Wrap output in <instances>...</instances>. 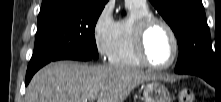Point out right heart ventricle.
<instances>
[{"label":"right heart ventricle","instance_id":"right-heart-ventricle-1","mask_svg":"<svg viewBox=\"0 0 221 102\" xmlns=\"http://www.w3.org/2000/svg\"><path fill=\"white\" fill-rule=\"evenodd\" d=\"M129 15L117 21V32L114 47L109 57L112 64L125 67H139L142 63L135 54L133 31L136 22L145 16L152 15L147 5L126 2Z\"/></svg>","mask_w":221,"mask_h":102}]
</instances>
